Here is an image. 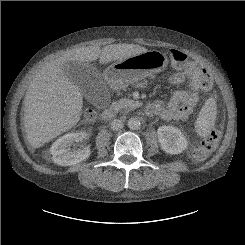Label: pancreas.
Wrapping results in <instances>:
<instances>
[{
  "label": "pancreas",
  "mask_w": 245,
  "mask_h": 245,
  "mask_svg": "<svg viewBox=\"0 0 245 245\" xmlns=\"http://www.w3.org/2000/svg\"><path fill=\"white\" fill-rule=\"evenodd\" d=\"M138 106H139L138 101H133V100L123 98L115 103L114 108L117 110L125 109L126 111H130V110H134Z\"/></svg>",
  "instance_id": "cf45deb5"
}]
</instances>
